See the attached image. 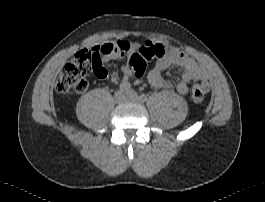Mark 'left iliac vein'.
Returning <instances> with one entry per match:
<instances>
[{
    "label": "left iliac vein",
    "instance_id": "4c4485c4",
    "mask_svg": "<svg viewBox=\"0 0 265 202\" xmlns=\"http://www.w3.org/2000/svg\"><path fill=\"white\" fill-rule=\"evenodd\" d=\"M126 95H127V101H129V102H134V103H140L141 102L137 93L133 90H128L126 92Z\"/></svg>",
    "mask_w": 265,
    "mask_h": 202
}]
</instances>
